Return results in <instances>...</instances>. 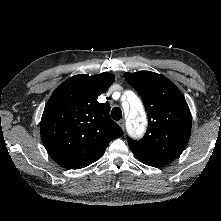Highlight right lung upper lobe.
<instances>
[{
  "label": "right lung upper lobe",
  "instance_id": "cb5924a9",
  "mask_svg": "<svg viewBox=\"0 0 221 221\" xmlns=\"http://www.w3.org/2000/svg\"><path fill=\"white\" fill-rule=\"evenodd\" d=\"M114 82L110 73L80 74L61 85L48 100L41 119V139L59 165L86 167L102 157L123 131L109 116L110 105L97 98Z\"/></svg>",
  "mask_w": 221,
  "mask_h": 221
}]
</instances>
